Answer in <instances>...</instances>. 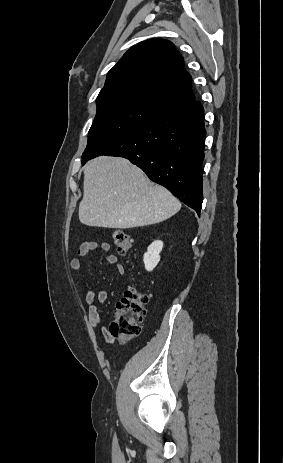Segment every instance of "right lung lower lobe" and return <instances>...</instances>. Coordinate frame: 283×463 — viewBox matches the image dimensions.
Returning a JSON list of instances; mask_svg holds the SVG:
<instances>
[{
    "label": "right lung lower lobe",
    "mask_w": 283,
    "mask_h": 463,
    "mask_svg": "<svg viewBox=\"0 0 283 463\" xmlns=\"http://www.w3.org/2000/svg\"><path fill=\"white\" fill-rule=\"evenodd\" d=\"M203 113L195 99L160 111L84 157L82 163L99 155L127 158L199 215L206 136Z\"/></svg>",
    "instance_id": "98d812e1"
}]
</instances>
